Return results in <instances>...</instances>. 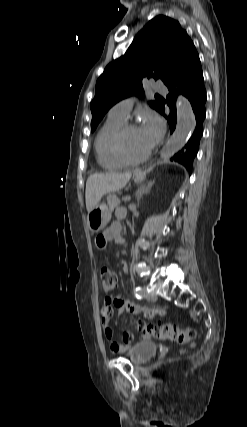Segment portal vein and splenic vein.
<instances>
[{
  "label": "portal vein and splenic vein",
  "instance_id": "1",
  "mask_svg": "<svg viewBox=\"0 0 247 427\" xmlns=\"http://www.w3.org/2000/svg\"><path fill=\"white\" fill-rule=\"evenodd\" d=\"M130 199H131V196H129V195L122 197V200L125 202L130 201Z\"/></svg>",
  "mask_w": 247,
  "mask_h": 427
}]
</instances>
